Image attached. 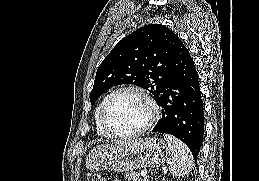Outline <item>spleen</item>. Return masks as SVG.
Instances as JSON below:
<instances>
[{"instance_id": "spleen-1", "label": "spleen", "mask_w": 259, "mask_h": 181, "mask_svg": "<svg viewBox=\"0 0 259 181\" xmlns=\"http://www.w3.org/2000/svg\"><path fill=\"white\" fill-rule=\"evenodd\" d=\"M163 136L171 155L170 173L177 177L187 175L194 166L193 156L189 148L181 140L170 134H164Z\"/></svg>"}]
</instances>
